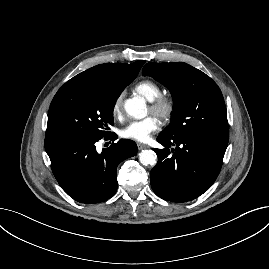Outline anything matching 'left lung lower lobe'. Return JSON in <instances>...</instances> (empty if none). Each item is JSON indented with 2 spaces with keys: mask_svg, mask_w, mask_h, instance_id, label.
<instances>
[{
  "mask_svg": "<svg viewBox=\"0 0 269 269\" xmlns=\"http://www.w3.org/2000/svg\"><path fill=\"white\" fill-rule=\"evenodd\" d=\"M229 135L193 132L179 138L158 136L164 149H154L158 162L151 170L154 193L166 201L186 202L206 192L216 180ZM171 146H174L171 150Z\"/></svg>",
  "mask_w": 269,
  "mask_h": 269,
  "instance_id": "0a47b994",
  "label": "left lung lower lobe"
}]
</instances>
